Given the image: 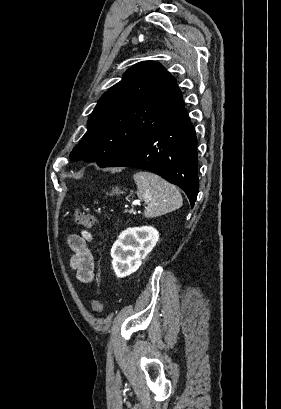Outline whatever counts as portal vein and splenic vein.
<instances>
[{"label":"portal vein and splenic vein","mask_w":281,"mask_h":409,"mask_svg":"<svg viewBox=\"0 0 281 409\" xmlns=\"http://www.w3.org/2000/svg\"><path fill=\"white\" fill-rule=\"evenodd\" d=\"M126 214H134V213H138V210H134V209H126L125 210Z\"/></svg>","instance_id":"portal-vein-and-splenic-vein-1"}]
</instances>
